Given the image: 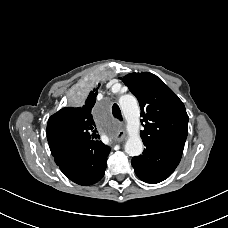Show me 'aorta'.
I'll use <instances>...</instances> for the list:
<instances>
[{
	"label": "aorta",
	"mask_w": 228,
	"mask_h": 228,
	"mask_svg": "<svg viewBox=\"0 0 228 228\" xmlns=\"http://www.w3.org/2000/svg\"><path fill=\"white\" fill-rule=\"evenodd\" d=\"M119 105L127 120L128 139L125 152L130 156H139L143 152V142L139 135L140 108L132 95H124L119 99Z\"/></svg>",
	"instance_id": "762f6f07"
}]
</instances>
